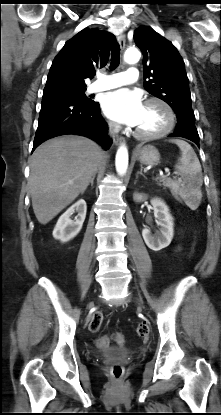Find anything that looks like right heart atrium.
Returning <instances> with one entry per match:
<instances>
[{
  "instance_id": "right-heart-atrium-1",
  "label": "right heart atrium",
  "mask_w": 221,
  "mask_h": 415,
  "mask_svg": "<svg viewBox=\"0 0 221 415\" xmlns=\"http://www.w3.org/2000/svg\"><path fill=\"white\" fill-rule=\"evenodd\" d=\"M109 127H110L112 130H116V129H117V125H116L115 123H113V122H109Z\"/></svg>"
}]
</instances>
